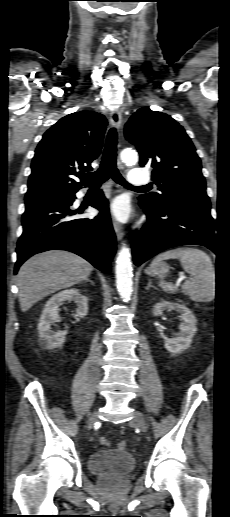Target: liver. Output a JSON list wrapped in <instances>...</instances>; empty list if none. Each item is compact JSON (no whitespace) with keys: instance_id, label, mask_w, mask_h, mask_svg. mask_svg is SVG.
Here are the masks:
<instances>
[{"instance_id":"liver-1","label":"liver","mask_w":230,"mask_h":517,"mask_svg":"<svg viewBox=\"0 0 230 517\" xmlns=\"http://www.w3.org/2000/svg\"><path fill=\"white\" fill-rule=\"evenodd\" d=\"M93 266L82 257L63 250H52L28 259L19 269V303L28 311L42 298L86 280Z\"/></svg>"}]
</instances>
